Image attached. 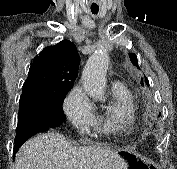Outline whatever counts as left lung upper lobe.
<instances>
[{"label":"left lung upper lobe","instance_id":"obj_1","mask_svg":"<svg viewBox=\"0 0 177 169\" xmlns=\"http://www.w3.org/2000/svg\"><path fill=\"white\" fill-rule=\"evenodd\" d=\"M129 56H130V60H131L132 64H133L134 66H137V68H139V67H138V61H137V59H136V56H135L133 53H130ZM141 81L144 82V84H146L147 86H149V81H148V79H147L146 76L144 77V80L141 79Z\"/></svg>","mask_w":177,"mask_h":169}]
</instances>
